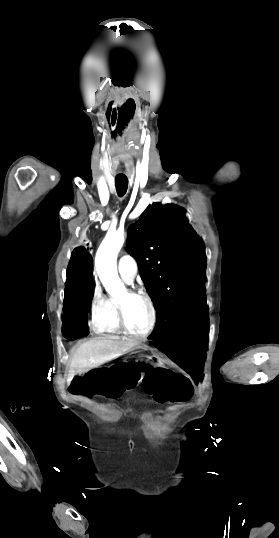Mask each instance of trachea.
Returning a JSON list of instances; mask_svg holds the SVG:
<instances>
[{
	"label": "trachea",
	"instance_id": "obj_1",
	"mask_svg": "<svg viewBox=\"0 0 279 538\" xmlns=\"http://www.w3.org/2000/svg\"><path fill=\"white\" fill-rule=\"evenodd\" d=\"M116 191L120 197L125 195L128 188V179L125 176H117L115 179Z\"/></svg>",
	"mask_w": 279,
	"mask_h": 538
}]
</instances>
